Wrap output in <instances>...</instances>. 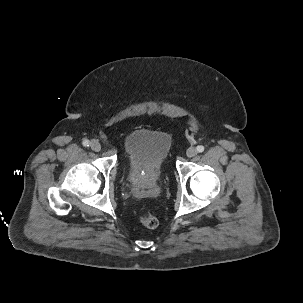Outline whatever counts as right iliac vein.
<instances>
[{"mask_svg": "<svg viewBox=\"0 0 303 303\" xmlns=\"http://www.w3.org/2000/svg\"><path fill=\"white\" fill-rule=\"evenodd\" d=\"M91 149L93 151H96V152L100 151L101 150V144L99 143V141L93 140L91 142Z\"/></svg>", "mask_w": 303, "mask_h": 303, "instance_id": "right-iliac-vein-1", "label": "right iliac vein"}]
</instances>
